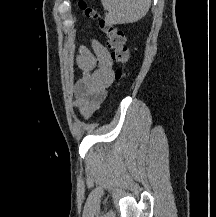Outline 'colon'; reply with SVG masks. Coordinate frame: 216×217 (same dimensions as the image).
Returning a JSON list of instances; mask_svg holds the SVG:
<instances>
[{"label": "colon", "mask_w": 216, "mask_h": 217, "mask_svg": "<svg viewBox=\"0 0 216 217\" xmlns=\"http://www.w3.org/2000/svg\"><path fill=\"white\" fill-rule=\"evenodd\" d=\"M80 6L87 17L98 22L99 28L105 36L108 48L113 51V59L118 64L115 79L117 82L123 80L128 74L127 63L130 58V50L127 46L123 30L107 23L94 9L89 7L84 0L80 1Z\"/></svg>", "instance_id": "5ec220e1"}]
</instances>
